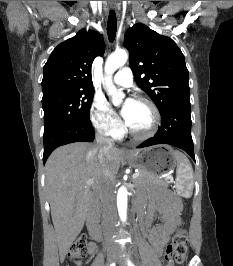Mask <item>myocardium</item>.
<instances>
[{
    "instance_id": "myocardium-1",
    "label": "myocardium",
    "mask_w": 233,
    "mask_h": 266,
    "mask_svg": "<svg viewBox=\"0 0 233 266\" xmlns=\"http://www.w3.org/2000/svg\"><path fill=\"white\" fill-rule=\"evenodd\" d=\"M136 102L143 103L151 109L152 114H153V121H152L150 128L145 132L138 133L132 130L130 127H128V133L135 140H146V139L153 137L158 131L160 124H161V114H160V111L157 105L148 98L138 97L136 98Z\"/></svg>"
}]
</instances>
